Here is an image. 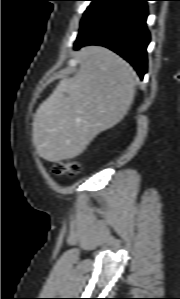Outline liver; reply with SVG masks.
I'll return each instance as SVG.
<instances>
[{
	"label": "liver",
	"instance_id": "6515ba94",
	"mask_svg": "<svg viewBox=\"0 0 180 299\" xmlns=\"http://www.w3.org/2000/svg\"><path fill=\"white\" fill-rule=\"evenodd\" d=\"M79 59L77 73L59 82L33 118V144L49 162L82 154L124 118L134 100L136 73L118 55L89 46L79 51Z\"/></svg>",
	"mask_w": 180,
	"mask_h": 299
}]
</instances>
